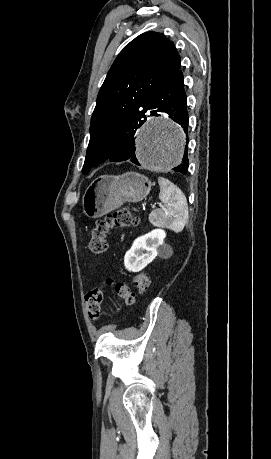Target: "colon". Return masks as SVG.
I'll return each mask as SVG.
<instances>
[{"instance_id": "5ec220e1", "label": "colon", "mask_w": 271, "mask_h": 459, "mask_svg": "<svg viewBox=\"0 0 271 459\" xmlns=\"http://www.w3.org/2000/svg\"><path fill=\"white\" fill-rule=\"evenodd\" d=\"M138 224V219L126 208H121L105 218L95 222L90 234L89 249L96 256L102 255L107 250V234L114 228H124ZM136 291H133L124 283L114 282L112 279L106 280V285L112 286L117 296L127 305L136 302L137 294L144 293L150 285V277L142 272L133 279ZM104 296L103 287H95L86 295L87 311L91 320L96 321L100 316L101 304Z\"/></svg>"}]
</instances>
